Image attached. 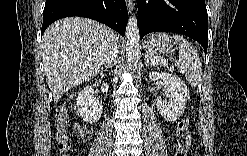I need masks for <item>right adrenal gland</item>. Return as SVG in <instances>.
Returning <instances> with one entry per match:
<instances>
[{"label": "right adrenal gland", "mask_w": 247, "mask_h": 156, "mask_svg": "<svg viewBox=\"0 0 247 156\" xmlns=\"http://www.w3.org/2000/svg\"><path fill=\"white\" fill-rule=\"evenodd\" d=\"M105 67L107 68V67H108V65H105ZM101 70H103V67L101 68Z\"/></svg>", "instance_id": "obj_1"}]
</instances>
